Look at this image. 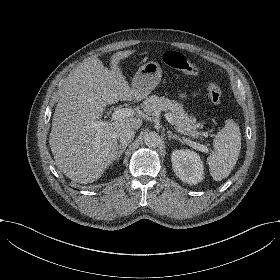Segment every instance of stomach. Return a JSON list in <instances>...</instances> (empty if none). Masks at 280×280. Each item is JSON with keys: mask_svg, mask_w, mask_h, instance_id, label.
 <instances>
[{"mask_svg": "<svg viewBox=\"0 0 280 280\" xmlns=\"http://www.w3.org/2000/svg\"><path fill=\"white\" fill-rule=\"evenodd\" d=\"M161 80V68L154 62L141 66L131 83L132 90H140L146 96L156 88Z\"/></svg>", "mask_w": 280, "mask_h": 280, "instance_id": "stomach-1", "label": "stomach"}]
</instances>
